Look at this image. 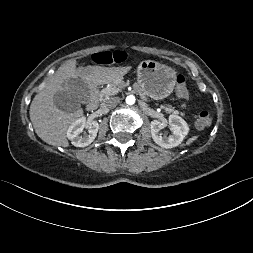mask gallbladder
I'll return each mask as SVG.
<instances>
[{
	"instance_id": "obj_1",
	"label": "gallbladder",
	"mask_w": 253,
	"mask_h": 253,
	"mask_svg": "<svg viewBox=\"0 0 253 253\" xmlns=\"http://www.w3.org/2000/svg\"><path fill=\"white\" fill-rule=\"evenodd\" d=\"M67 88L54 95V105L61 111L74 112L81 103H88L89 89L80 78H72L66 82Z\"/></svg>"
}]
</instances>
